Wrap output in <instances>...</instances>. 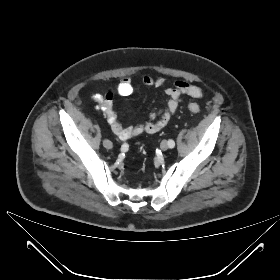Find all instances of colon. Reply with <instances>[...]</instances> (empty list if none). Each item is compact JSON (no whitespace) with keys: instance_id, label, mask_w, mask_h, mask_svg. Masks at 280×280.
<instances>
[{"instance_id":"obj_1","label":"colon","mask_w":280,"mask_h":280,"mask_svg":"<svg viewBox=\"0 0 280 280\" xmlns=\"http://www.w3.org/2000/svg\"><path fill=\"white\" fill-rule=\"evenodd\" d=\"M188 109H189V111H191L193 113H197L200 111V107L197 103H189Z\"/></svg>"}]
</instances>
